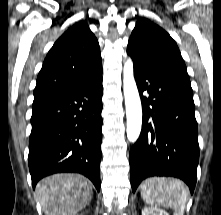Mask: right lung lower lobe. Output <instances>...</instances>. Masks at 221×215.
<instances>
[{
	"label": "right lung lower lobe",
	"mask_w": 221,
	"mask_h": 215,
	"mask_svg": "<svg viewBox=\"0 0 221 215\" xmlns=\"http://www.w3.org/2000/svg\"><path fill=\"white\" fill-rule=\"evenodd\" d=\"M102 73L95 79L33 105L28 164L37 182L77 172L100 190Z\"/></svg>",
	"instance_id": "98d812e1"
}]
</instances>
